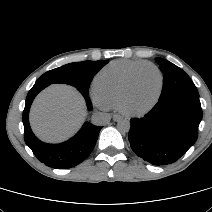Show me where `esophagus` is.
Instances as JSON below:
<instances>
[{
    "label": "esophagus",
    "mask_w": 212,
    "mask_h": 212,
    "mask_svg": "<svg viewBox=\"0 0 212 212\" xmlns=\"http://www.w3.org/2000/svg\"><path fill=\"white\" fill-rule=\"evenodd\" d=\"M121 119H122V117L120 115H118V114H114L113 115V120L114 121H120Z\"/></svg>",
    "instance_id": "obj_1"
}]
</instances>
